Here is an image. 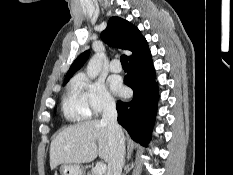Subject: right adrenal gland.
Here are the masks:
<instances>
[{"mask_svg": "<svg viewBox=\"0 0 233 175\" xmlns=\"http://www.w3.org/2000/svg\"><path fill=\"white\" fill-rule=\"evenodd\" d=\"M125 165V159H124V161H123V166Z\"/></svg>", "mask_w": 233, "mask_h": 175, "instance_id": "right-adrenal-gland-1", "label": "right adrenal gland"}]
</instances>
